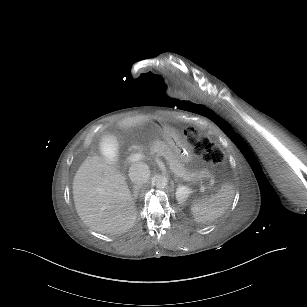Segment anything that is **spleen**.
Returning a JSON list of instances; mask_svg holds the SVG:
<instances>
[{
  "mask_svg": "<svg viewBox=\"0 0 307 307\" xmlns=\"http://www.w3.org/2000/svg\"><path fill=\"white\" fill-rule=\"evenodd\" d=\"M234 192L231 186L224 185L212 197L193 205L192 211L196 222L206 224L221 217L231 205Z\"/></svg>",
  "mask_w": 307,
  "mask_h": 307,
  "instance_id": "obj_1",
  "label": "spleen"
}]
</instances>
